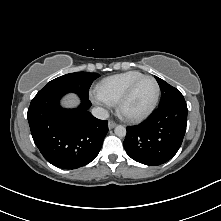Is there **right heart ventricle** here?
<instances>
[{
  "instance_id": "1",
  "label": "right heart ventricle",
  "mask_w": 221,
  "mask_h": 221,
  "mask_svg": "<svg viewBox=\"0 0 221 221\" xmlns=\"http://www.w3.org/2000/svg\"><path fill=\"white\" fill-rule=\"evenodd\" d=\"M143 74L138 71H128L103 79L97 86V95L109 104L119 101L127 88Z\"/></svg>"
}]
</instances>
